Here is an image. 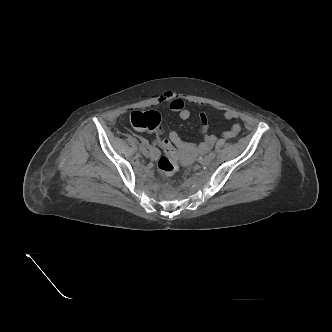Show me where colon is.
I'll return each instance as SVG.
<instances>
[{"label": "colon", "mask_w": 332, "mask_h": 332, "mask_svg": "<svg viewBox=\"0 0 332 332\" xmlns=\"http://www.w3.org/2000/svg\"><path fill=\"white\" fill-rule=\"evenodd\" d=\"M130 122L138 130L161 133V117L156 111H134L131 114ZM160 147L164 155L157 161V169L164 176H171L178 171L177 152L169 140L159 139Z\"/></svg>", "instance_id": "5ec220e1"}]
</instances>
